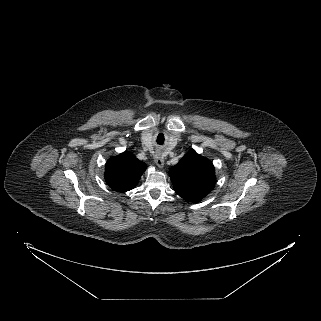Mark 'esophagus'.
Returning <instances> with one entry per match:
<instances>
[{
	"instance_id": "1",
	"label": "esophagus",
	"mask_w": 321,
	"mask_h": 321,
	"mask_svg": "<svg viewBox=\"0 0 321 321\" xmlns=\"http://www.w3.org/2000/svg\"><path fill=\"white\" fill-rule=\"evenodd\" d=\"M154 161L156 163V165L159 167V168H163L164 166V159L162 157V153L161 151H157L156 154L154 155Z\"/></svg>"
}]
</instances>
